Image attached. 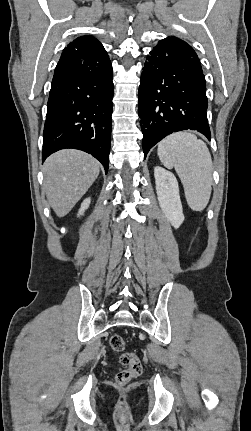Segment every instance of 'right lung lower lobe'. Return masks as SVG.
<instances>
[{"label":"right lung lower lobe","instance_id":"obj_1","mask_svg":"<svg viewBox=\"0 0 251 431\" xmlns=\"http://www.w3.org/2000/svg\"><path fill=\"white\" fill-rule=\"evenodd\" d=\"M113 95L112 65L102 45L63 51L48 99L42 160L60 149H79L107 173Z\"/></svg>","mask_w":251,"mask_h":431}]
</instances>
